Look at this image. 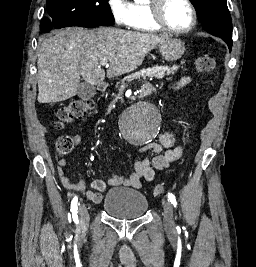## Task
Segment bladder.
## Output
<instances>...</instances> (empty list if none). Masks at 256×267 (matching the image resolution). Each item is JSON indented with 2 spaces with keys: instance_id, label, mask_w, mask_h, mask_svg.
Wrapping results in <instances>:
<instances>
[{
  "instance_id": "obj_1",
  "label": "bladder",
  "mask_w": 256,
  "mask_h": 267,
  "mask_svg": "<svg viewBox=\"0 0 256 267\" xmlns=\"http://www.w3.org/2000/svg\"><path fill=\"white\" fill-rule=\"evenodd\" d=\"M148 200L141 192L128 188L112 189L105 197L102 208L122 219H131L144 214Z\"/></svg>"
}]
</instances>
